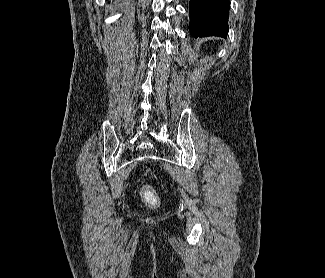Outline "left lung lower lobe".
Listing matches in <instances>:
<instances>
[{
  "mask_svg": "<svg viewBox=\"0 0 325 278\" xmlns=\"http://www.w3.org/2000/svg\"><path fill=\"white\" fill-rule=\"evenodd\" d=\"M229 7V0H190V34L226 37Z\"/></svg>",
  "mask_w": 325,
  "mask_h": 278,
  "instance_id": "obj_1",
  "label": "left lung lower lobe"
}]
</instances>
